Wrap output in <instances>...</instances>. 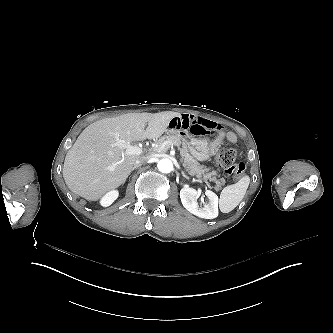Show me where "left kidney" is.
Returning a JSON list of instances; mask_svg holds the SVG:
<instances>
[{"mask_svg":"<svg viewBox=\"0 0 333 333\" xmlns=\"http://www.w3.org/2000/svg\"><path fill=\"white\" fill-rule=\"evenodd\" d=\"M205 195L208 198V204L200 207L196 199L199 191L195 188L183 187L180 191V199L183 207L195 216L204 219H214L218 217V196L207 190Z\"/></svg>","mask_w":333,"mask_h":333,"instance_id":"5707ae66","label":"left kidney"}]
</instances>
